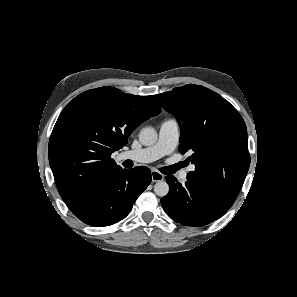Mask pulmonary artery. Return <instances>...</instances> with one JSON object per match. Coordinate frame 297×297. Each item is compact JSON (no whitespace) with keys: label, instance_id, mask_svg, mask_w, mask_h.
I'll use <instances>...</instances> for the list:
<instances>
[{"label":"pulmonary artery","instance_id":"e3ab8cb5","mask_svg":"<svg viewBox=\"0 0 297 297\" xmlns=\"http://www.w3.org/2000/svg\"><path fill=\"white\" fill-rule=\"evenodd\" d=\"M179 137L180 127L178 121L174 118L167 119L160 125L158 139L155 144L125 152L121 157L142 163L153 162L171 153L176 148ZM188 171L183 170L181 172L180 179L182 182L187 181Z\"/></svg>","mask_w":297,"mask_h":297}]
</instances>
